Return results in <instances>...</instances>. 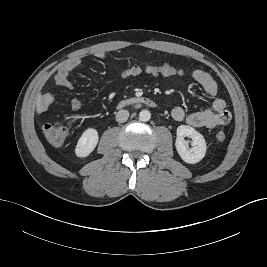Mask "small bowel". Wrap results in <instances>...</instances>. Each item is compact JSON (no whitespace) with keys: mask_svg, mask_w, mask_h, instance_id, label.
Masks as SVG:
<instances>
[{"mask_svg":"<svg viewBox=\"0 0 267 267\" xmlns=\"http://www.w3.org/2000/svg\"><path fill=\"white\" fill-rule=\"evenodd\" d=\"M95 56L98 59H104L105 53L104 52H97ZM81 63V59L79 57H75L61 66L55 74V83L60 88L71 90L72 84L69 80L70 73L77 68ZM184 71L179 69L177 75H183ZM159 76V75H153ZM193 79L201 85L204 91L214 97L210 108L203 109L200 111H196L186 115L185 110L180 107L176 106L171 110V116L173 119L177 121H181L186 118L187 123L192 127H204L208 129H216L223 125H226L231 120V114L226 109V102L224 99L217 97L218 94V85L214 77L207 71L203 69H196L192 73ZM55 102V97L52 94H45L43 95L41 102L39 104V110L44 111L50 105ZM71 109L77 111L81 109L83 106V102L79 98H74L71 100L70 103Z\"/></svg>","mask_w":267,"mask_h":267,"instance_id":"small-bowel-1","label":"small bowel"}]
</instances>
